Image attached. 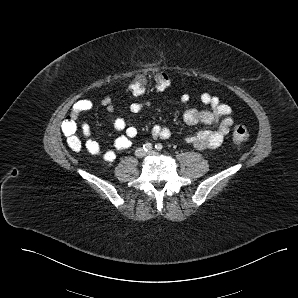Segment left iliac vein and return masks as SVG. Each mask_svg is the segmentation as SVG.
Returning a JSON list of instances; mask_svg holds the SVG:
<instances>
[{"instance_id": "obj_1", "label": "left iliac vein", "mask_w": 298, "mask_h": 298, "mask_svg": "<svg viewBox=\"0 0 298 298\" xmlns=\"http://www.w3.org/2000/svg\"><path fill=\"white\" fill-rule=\"evenodd\" d=\"M147 154H148V155H156L157 153H156V151L151 150V151H148Z\"/></svg>"}]
</instances>
